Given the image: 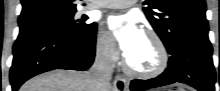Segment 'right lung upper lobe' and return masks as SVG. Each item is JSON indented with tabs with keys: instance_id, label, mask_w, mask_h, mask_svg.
I'll return each instance as SVG.
<instances>
[{
	"instance_id": "obj_1",
	"label": "right lung upper lobe",
	"mask_w": 220,
	"mask_h": 91,
	"mask_svg": "<svg viewBox=\"0 0 220 91\" xmlns=\"http://www.w3.org/2000/svg\"><path fill=\"white\" fill-rule=\"evenodd\" d=\"M18 23L23 25L47 15L76 10L75 0H22Z\"/></svg>"
}]
</instances>
